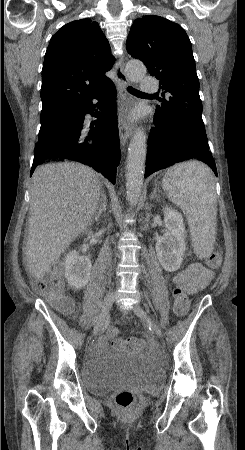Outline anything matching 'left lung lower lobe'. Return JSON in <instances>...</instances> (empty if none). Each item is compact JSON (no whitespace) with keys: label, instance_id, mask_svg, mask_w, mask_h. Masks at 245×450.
<instances>
[{"label":"left lung lower lobe","instance_id":"1","mask_svg":"<svg viewBox=\"0 0 245 450\" xmlns=\"http://www.w3.org/2000/svg\"><path fill=\"white\" fill-rule=\"evenodd\" d=\"M199 159L207 163L215 175L217 170L207 138L190 128L173 123L155 113L150 131L144 177L177 162Z\"/></svg>","mask_w":245,"mask_h":450}]
</instances>
